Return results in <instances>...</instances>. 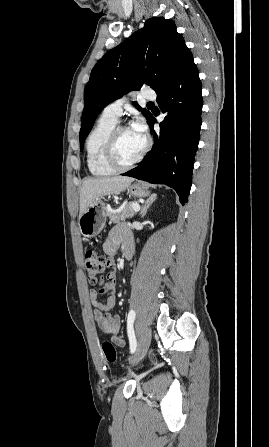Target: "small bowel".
<instances>
[{"instance_id": "1", "label": "small bowel", "mask_w": 269, "mask_h": 447, "mask_svg": "<svg viewBox=\"0 0 269 447\" xmlns=\"http://www.w3.org/2000/svg\"><path fill=\"white\" fill-rule=\"evenodd\" d=\"M120 245L124 251H133L131 234L124 225H117L111 229L104 241L103 250L108 255H114ZM115 288L116 275L114 269L110 268L105 276L103 285L97 290H91L89 297L94 307L93 315L100 330L109 335L115 345L123 347L125 342L119 336L121 328L120 317L111 314L115 303V296L113 294Z\"/></svg>"}]
</instances>
